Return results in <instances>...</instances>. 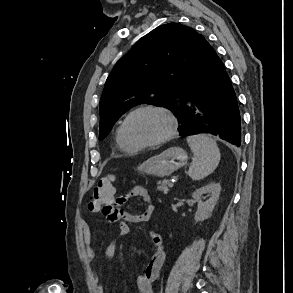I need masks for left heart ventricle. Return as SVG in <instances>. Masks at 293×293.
Masks as SVG:
<instances>
[{
  "instance_id": "b2bd125f",
  "label": "left heart ventricle",
  "mask_w": 293,
  "mask_h": 293,
  "mask_svg": "<svg viewBox=\"0 0 293 293\" xmlns=\"http://www.w3.org/2000/svg\"><path fill=\"white\" fill-rule=\"evenodd\" d=\"M167 129L168 122L161 114L153 111H142L129 120L127 135L133 143H147L162 137Z\"/></svg>"
}]
</instances>
